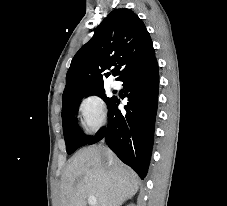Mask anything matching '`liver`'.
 <instances>
[{"label":"liver","mask_w":227,"mask_h":206,"mask_svg":"<svg viewBox=\"0 0 227 206\" xmlns=\"http://www.w3.org/2000/svg\"><path fill=\"white\" fill-rule=\"evenodd\" d=\"M138 176L108 148L93 145L79 150L62 177L59 206H120L138 191Z\"/></svg>","instance_id":"1"}]
</instances>
